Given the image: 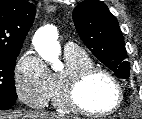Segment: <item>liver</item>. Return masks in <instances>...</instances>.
Returning <instances> with one entry per match:
<instances>
[{
    "instance_id": "liver-1",
    "label": "liver",
    "mask_w": 142,
    "mask_h": 119,
    "mask_svg": "<svg viewBox=\"0 0 142 119\" xmlns=\"http://www.w3.org/2000/svg\"><path fill=\"white\" fill-rule=\"evenodd\" d=\"M64 115L49 114L44 112H27L18 114H0V119H66Z\"/></svg>"
}]
</instances>
